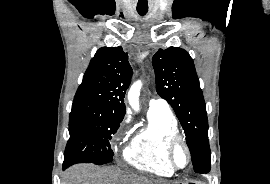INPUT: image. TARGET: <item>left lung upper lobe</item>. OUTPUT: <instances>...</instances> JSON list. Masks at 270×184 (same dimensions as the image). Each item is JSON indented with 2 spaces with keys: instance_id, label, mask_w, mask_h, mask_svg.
Here are the masks:
<instances>
[{
  "instance_id": "1",
  "label": "left lung upper lobe",
  "mask_w": 270,
  "mask_h": 184,
  "mask_svg": "<svg viewBox=\"0 0 270 184\" xmlns=\"http://www.w3.org/2000/svg\"><path fill=\"white\" fill-rule=\"evenodd\" d=\"M152 64L156 91L172 106L184 129L195 172H209L207 113L192 58L179 47H169L159 49Z\"/></svg>"
}]
</instances>
